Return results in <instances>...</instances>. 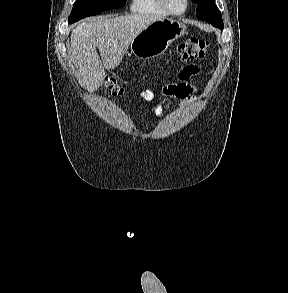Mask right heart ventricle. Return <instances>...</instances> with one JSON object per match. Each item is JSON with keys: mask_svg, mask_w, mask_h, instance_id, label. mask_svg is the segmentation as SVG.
<instances>
[{"mask_svg": "<svg viewBox=\"0 0 288 293\" xmlns=\"http://www.w3.org/2000/svg\"><path fill=\"white\" fill-rule=\"evenodd\" d=\"M130 9L132 12L139 14L168 15L158 0H132Z\"/></svg>", "mask_w": 288, "mask_h": 293, "instance_id": "e07e8e85", "label": "right heart ventricle"}]
</instances>
